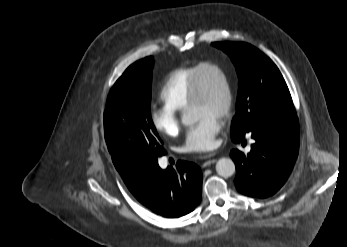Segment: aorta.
<instances>
[{
    "label": "aorta",
    "instance_id": "aorta-1",
    "mask_svg": "<svg viewBox=\"0 0 347 247\" xmlns=\"http://www.w3.org/2000/svg\"><path fill=\"white\" fill-rule=\"evenodd\" d=\"M181 121L183 125L189 126L196 122V117L191 110L182 114ZM235 164L230 158H221L216 163V171L222 177H230L235 173Z\"/></svg>",
    "mask_w": 347,
    "mask_h": 247
}]
</instances>
